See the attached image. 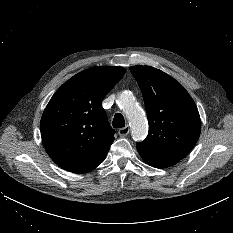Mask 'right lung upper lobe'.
Listing matches in <instances>:
<instances>
[{
    "label": "right lung upper lobe",
    "mask_w": 233,
    "mask_h": 233,
    "mask_svg": "<svg viewBox=\"0 0 233 233\" xmlns=\"http://www.w3.org/2000/svg\"><path fill=\"white\" fill-rule=\"evenodd\" d=\"M124 74L122 67H93L70 78L52 96L41 118V137L61 168L85 173L103 162L115 131L101 103Z\"/></svg>",
    "instance_id": "obj_1"
}]
</instances>
